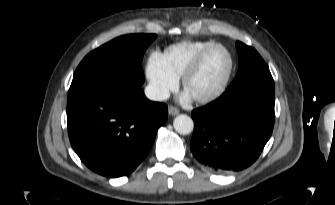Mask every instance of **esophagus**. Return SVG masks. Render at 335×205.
Masks as SVG:
<instances>
[{"label":"esophagus","instance_id":"esophagus-1","mask_svg":"<svg viewBox=\"0 0 335 205\" xmlns=\"http://www.w3.org/2000/svg\"><path fill=\"white\" fill-rule=\"evenodd\" d=\"M168 113H169V115L175 116V115L179 114V110L174 106H169L168 107Z\"/></svg>","mask_w":335,"mask_h":205}]
</instances>
